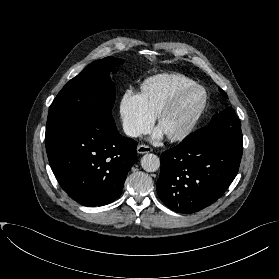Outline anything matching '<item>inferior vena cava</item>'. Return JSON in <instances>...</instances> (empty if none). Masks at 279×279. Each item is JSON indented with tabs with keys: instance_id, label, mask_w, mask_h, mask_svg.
I'll return each mask as SVG.
<instances>
[{
	"instance_id": "1",
	"label": "inferior vena cava",
	"mask_w": 279,
	"mask_h": 279,
	"mask_svg": "<svg viewBox=\"0 0 279 279\" xmlns=\"http://www.w3.org/2000/svg\"><path fill=\"white\" fill-rule=\"evenodd\" d=\"M124 132L126 135L131 136V137H138L140 135L139 129L132 125H126L124 126Z\"/></svg>"
}]
</instances>
